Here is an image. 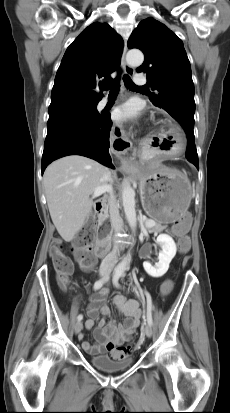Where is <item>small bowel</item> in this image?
Here are the masks:
<instances>
[{
    "label": "small bowel",
    "mask_w": 230,
    "mask_h": 413,
    "mask_svg": "<svg viewBox=\"0 0 230 413\" xmlns=\"http://www.w3.org/2000/svg\"><path fill=\"white\" fill-rule=\"evenodd\" d=\"M171 233L174 235H181L180 231L176 228L171 229ZM81 264V263H80ZM82 268L89 270L91 266H84ZM108 290L102 288L96 294L90 298V304L87 309L88 319L85 323L87 329L94 327L95 321L101 313L105 317L111 316V309L106 304V296ZM113 304L118 310L124 314L125 321L123 324H117L111 320L107 324L104 319H101L98 326L94 329L95 344H91L87 341L82 342V348L88 354L95 356L101 354H109L114 359L127 358L130 352H125V345L131 338L134 331L138 328L141 320V310L139 303L136 300H128L122 295H117L113 298ZM79 339H83V335L79 336Z\"/></svg>",
    "instance_id": "obj_1"
}]
</instances>
